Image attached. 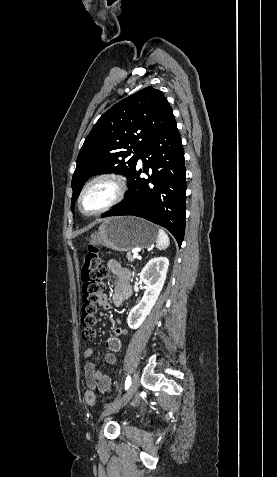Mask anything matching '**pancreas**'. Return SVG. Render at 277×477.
Listing matches in <instances>:
<instances>
[{
  "label": "pancreas",
  "mask_w": 277,
  "mask_h": 477,
  "mask_svg": "<svg viewBox=\"0 0 277 477\" xmlns=\"http://www.w3.org/2000/svg\"><path fill=\"white\" fill-rule=\"evenodd\" d=\"M126 257H127V259H128L129 262H133V261H134V257L131 255V253H128V254L126 255Z\"/></svg>",
  "instance_id": "1"
}]
</instances>
